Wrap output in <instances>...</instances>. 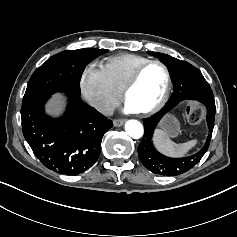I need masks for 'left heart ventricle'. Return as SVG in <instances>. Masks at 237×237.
<instances>
[{
    "label": "left heart ventricle",
    "instance_id": "obj_1",
    "mask_svg": "<svg viewBox=\"0 0 237 237\" xmlns=\"http://www.w3.org/2000/svg\"><path fill=\"white\" fill-rule=\"evenodd\" d=\"M166 77L159 65H151L142 73L136 86L129 92L127 103L142 112L155 106L165 91Z\"/></svg>",
    "mask_w": 237,
    "mask_h": 237
}]
</instances>
